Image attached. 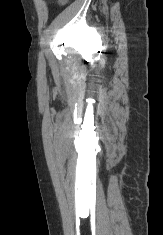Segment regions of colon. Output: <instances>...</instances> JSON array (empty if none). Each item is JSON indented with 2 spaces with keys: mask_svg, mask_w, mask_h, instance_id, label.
<instances>
[{
  "mask_svg": "<svg viewBox=\"0 0 163 235\" xmlns=\"http://www.w3.org/2000/svg\"><path fill=\"white\" fill-rule=\"evenodd\" d=\"M55 3L59 6H63L68 3V0H55Z\"/></svg>",
  "mask_w": 163,
  "mask_h": 235,
  "instance_id": "obj_1",
  "label": "colon"
}]
</instances>
